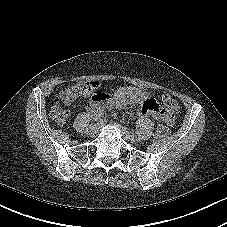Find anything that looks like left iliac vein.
<instances>
[{
    "instance_id": "left-iliac-vein-1",
    "label": "left iliac vein",
    "mask_w": 227,
    "mask_h": 227,
    "mask_svg": "<svg viewBox=\"0 0 227 227\" xmlns=\"http://www.w3.org/2000/svg\"><path fill=\"white\" fill-rule=\"evenodd\" d=\"M117 126L120 127V129L122 130V135L126 140H130L131 142L134 143L138 142V140H136L133 134L130 131H128L125 127L119 125Z\"/></svg>"
}]
</instances>
